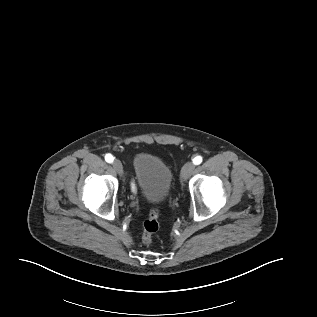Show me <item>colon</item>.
<instances>
[{"instance_id":"colon-1","label":"colon","mask_w":317,"mask_h":317,"mask_svg":"<svg viewBox=\"0 0 317 317\" xmlns=\"http://www.w3.org/2000/svg\"><path fill=\"white\" fill-rule=\"evenodd\" d=\"M159 216L160 210L158 207H155L150 211L148 218L145 220L142 236L145 244H150L152 242V237L159 228Z\"/></svg>"}]
</instances>
